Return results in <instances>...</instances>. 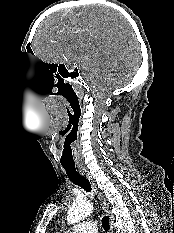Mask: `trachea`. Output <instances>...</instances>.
I'll return each instance as SVG.
<instances>
[{
  "label": "trachea",
  "instance_id": "1",
  "mask_svg": "<svg viewBox=\"0 0 174 233\" xmlns=\"http://www.w3.org/2000/svg\"><path fill=\"white\" fill-rule=\"evenodd\" d=\"M64 169L70 181L83 188L86 192H91L92 188L89 180L82 176L75 167H64ZM102 227L105 231L109 230V217L106 215L102 218Z\"/></svg>",
  "mask_w": 174,
  "mask_h": 233
}]
</instances>
